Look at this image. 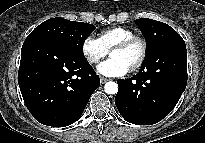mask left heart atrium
Returning a JSON list of instances; mask_svg holds the SVG:
<instances>
[{"label":"left heart atrium","mask_w":205,"mask_h":143,"mask_svg":"<svg viewBox=\"0 0 205 143\" xmlns=\"http://www.w3.org/2000/svg\"><path fill=\"white\" fill-rule=\"evenodd\" d=\"M97 70L100 74L108 77H121L128 73L129 67L120 60L110 57L99 64Z\"/></svg>","instance_id":"39dd6f15"}]
</instances>
